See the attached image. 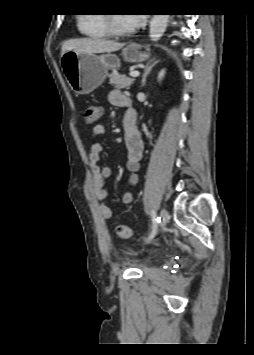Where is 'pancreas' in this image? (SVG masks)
Masks as SVG:
<instances>
[{"label":"pancreas","instance_id":"1","mask_svg":"<svg viewBox=\"0 0 254 355\" xmlns=\"http://www.w3.org/2000/svg\"><path fill=\"white\" fill-rule=\"evenodd\" d=\"M109 77V84L119 89H129L134 82V79L125 78L117 72H113Z\"/></svg>","mask_w":254,"mask_h":355}]
</instances>
